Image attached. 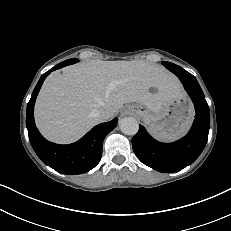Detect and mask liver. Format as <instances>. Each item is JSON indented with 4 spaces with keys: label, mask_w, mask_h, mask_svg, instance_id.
<instances>
[{
    "label": "liver",
    "mask_w": 231,
    "mask_h": 231,
    "mask_svg": "<svg viewBox=\"0 0 231 231\" xmlns=\"http://www.w3.org/2000/svg\"><path fill=\"white\" fill-rule=\"evenodd\" d=\"M182 94L177 78L162 66L93 60L47 77L36 100L35 122L48 140L71 143L100 123L95 116L99 110L114 115L125 103L137 102L157 112Z\"/></svg>",
    "instance_id": "obj_1"
}]
</instances>
